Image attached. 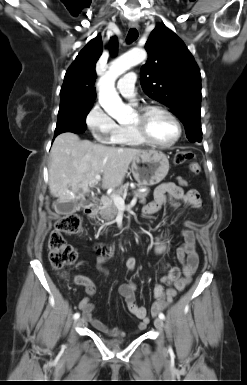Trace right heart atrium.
I'll list each match as a JSON object with an SVG mask.
<instances>
[{
  "label": "right heart atrium",
  "instance_id": "1",
  "mask_svg": "<svg viewBox=\"0 0 247 385\" xmlns=\"http://www.w3.org/2000/svg\"><path fill=\"white\" fill-rule=\"evenodd\" d=\"M86 125L92 136L101 143L114 144L119 125L99 103L92 106L86 115Z\"/></svg>",
  "mask_w": 247,
  "mask_h": 385
}]
</instances>
